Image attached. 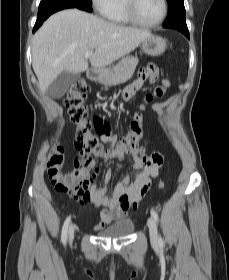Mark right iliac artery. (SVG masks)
Masks as SVG:
<instances>
[{"instance_id": "82829eb1", "label": "right iliac artery", "mask_w": 229, "mask_h": 280, "mask_svg": "<svg viewBox=\"0 0 229 280\" xmlns=\"http://www.w3.org/2000/svg\"><path fill=\"white\" fill-rule=\"evenodd\" d=\"M69 223H70V216L65 220L62 228L61 239L63 244H66L67 241V232H68Z\"/></svg>"}]
</instances>
